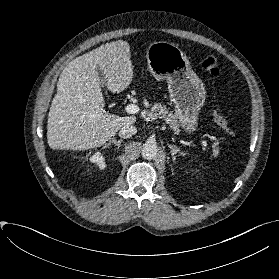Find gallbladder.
<instances>
[{
	"mask_svg": "<svg viewBox=\"0 0 279 279\" xmlns=\"http://www.w3.org/2000/svg\"><path fill=\"white\" fill-rule=\"evenodd\" d=\"M97 71L99 72V78H100V79H103V78H104V76H103V74H102L101 70L98 68V69H97ZM101 85H102V86H104V83H103V82H101Z\"/></svg>",
	"mask_w": 279,
	"mask_h": 279,
	"instance_id": "gallbladder-1",
	"label": "gallbladder"
}]
</instances>
